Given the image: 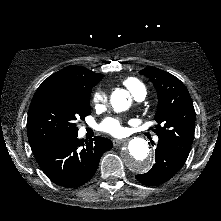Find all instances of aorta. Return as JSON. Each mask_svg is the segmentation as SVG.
<instances>
[{
  "instance_id": "obj_1",
  "label": "aorta",
  "mask_w": 221,
  "mask_h": 221,
  "mask_svg": "<svg viewBox=\"0 0 221 221\" xmlns=\"http://www.w3.org/2000/svg\"><path fill=\"white\" fill-rule=\"evenodd\" d=\"M112 107L118 111H125L131 105L130 95L124 89H116L111 94ZM124 165L134 173L141 174L150 170L152 160L148 142L140 137H135L128 142L122 154Z\"/></svg>"
}]
</instances>
